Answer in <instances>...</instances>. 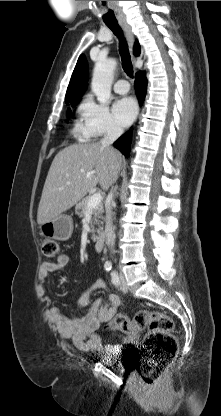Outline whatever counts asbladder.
<instances>
[{
    "label": "bladder",
    "instance_id": "1",
    "mask_svg": "<svg viewBox=\"0 0 221 416\" xmlns=\"http://www.w3.org/2000/svg\"><path fill=\"white\" fill-rule=\"evenodd\" d=\"M102 357H103V363L104 364H106V365H112V366H114L116 368H122V366L117 365V364H114V360H113V358L115 357V354L114 353H106L105 352V353H103Z\"/></svg>",
    "mask_w": 221,
    "mask_h": 416
}]
</instances>
